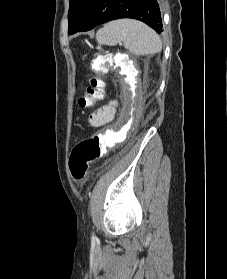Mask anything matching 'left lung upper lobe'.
I'll return each instance as SVG.
<instances>
[{
    "instance_id": "obj_1",
    "label": "left lung upper lobe",
    "mask_w": 227,
    "mask_h": 279,
    "mask_svg": "<svg viewBox=\"0 0 227 279\" xmlns=\"http://www.w3.org/2000/svg\"><path fill=\"white\" fill-rule=\"evenodd\" d=\"M93 0H70L68 32L76 33L82 26Z\"/></svg>"
}]
</instances>
